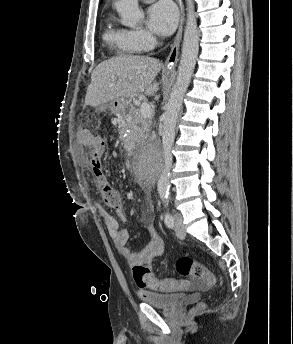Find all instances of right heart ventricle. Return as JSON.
Here are the masks:
<instances>
[{"label":"right heart ventricle","instance_id":"1","mask_svg":"<svg viewBox=\"0 0 293 344\" xmlns=\"http://www.w3.org/2000/svg\"><path fill=\"white\" fill-rule=\"evenodd\" d=\"M103 39L118 54L134 55L139 52L130 42L127 30L117 27L110 17L106 21Z\"/></svg>","mask_w":293,"mask_h":344}]
</instances>
